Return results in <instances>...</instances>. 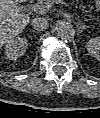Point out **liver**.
I'll return each mask as SVG.
<instances>
[{
    "mask_svg": "<svg viewBox=\"0 0 100 118\" xmlns=\"http://www.w3.org/2000/svg\"><path fill=\"white\" fill-rule=\"evenodd\" d=\"M27 0H0V45L20 34L30 21L28 14L19 13L17 2Z\"/></svg>",
    "mask_w": 100,
    "mask_h": 118,
    "instance_id": "1",
    "label": "liver"
}]
</instances>
